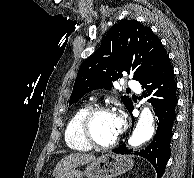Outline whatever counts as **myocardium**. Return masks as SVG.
I'll return each mask as SVG.
<instances>
[{
	"mask_svg": "<svg viewBox=\"0 0 194 178\" xmlns=\"http://www.w3.org/2000/svg\"><path fill=\"white\" fill-rule=\"evenodd\" d=\"M101 113H110L114 114V111L107 106H94L91 107L83 116L80 123V133L83 140L89 144L91 147L99 148V149H109L114 147L119 142V135H117L111 142L109 143H100L98 142L92 133V123L94 118Z\"/></svg>",
	"mask_w": 194,
	"mask_h": 178,
	"instance_id": "obj_1",
	"label": "myocardium"
}]
</instances>
